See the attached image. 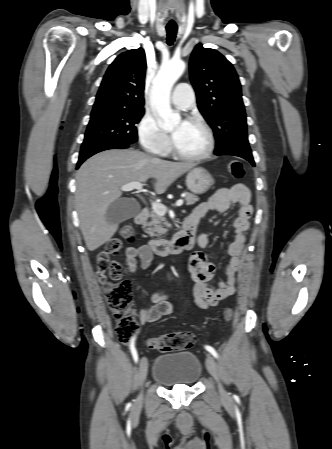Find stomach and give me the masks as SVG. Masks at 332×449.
<instances>
[{"mask_svg": "<svg viewBox=\"0 0 332 449\" xmlns=\"http://www.w3.org/2000/svg\"><path fill=\"white\" fill-rule=\"evenodd\" d=\"M213 184L212 176L202 167L191 169L186 176V185L194 194H204Z\"/></svg>", "mask_w": 332, "mask_h": 449, "instance_id": "obj_1", "label": "stomach"}]
</instances>
